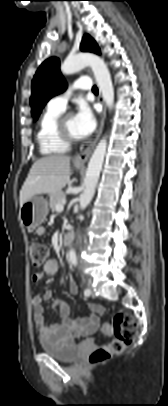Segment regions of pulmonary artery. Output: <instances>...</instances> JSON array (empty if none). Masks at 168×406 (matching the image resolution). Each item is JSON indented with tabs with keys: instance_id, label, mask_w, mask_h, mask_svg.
<instances>
[{
	"instance_id": "1",
	"label": "pulmonary artery",
	"mask_w": 168,
	"mask_h": 406,
	"mask_svg": "<svg viewBox=\"0 0 168 406\" xmlns=\"http://www.w3.org/2000/svg\"><path fill=\"white\" fill-rule=\"evenodd\" d=\"M91 86H92L91 80L89 77H81L70 86L69 90L66 93L53 97L49 101L48 106L60 110H65L68 99L73 90L75 89L89 90L91 89Z\"/></svg>"
}]
</instances>
